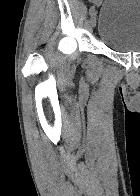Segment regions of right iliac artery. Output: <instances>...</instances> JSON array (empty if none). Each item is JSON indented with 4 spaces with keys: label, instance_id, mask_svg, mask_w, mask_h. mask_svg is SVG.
<instances>
[{
    "label": "right iliac artery",
    "instance_id": "right-iliac-artery-1",
    "mask_svg": "<svg viewBox=\"0 0 140 196\" xmlns=\"http://www.w3.org/2000/svg\"><path fill=\"white\" fill-rule=\"evenodd\" d=\"M94 11H95V8L94 7H91L90 8V14H92Z\"/></svg>",
    "mask_w": 140,
    "mask_h": 196
}]
</instances>
